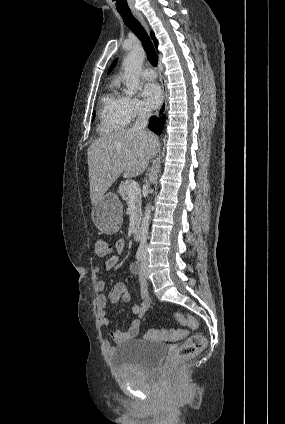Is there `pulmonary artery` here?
<instances>
[{"instance_id":"pulmonary-artery-1","label":"pulmonary artery","mask_w":285,"mask_h":424,"mask_svg":"<svg viewBox=\"0 0 285 424\" xmlns=\"http://www.w3.org/2000/svg\"><path fill=\"white\" fill-rule=\"evenodd\" d=\"M142 77L146 80H154L156 78V72L152 68H145L142 71Z\"/></svg>"}]
</instances>
